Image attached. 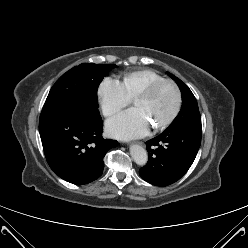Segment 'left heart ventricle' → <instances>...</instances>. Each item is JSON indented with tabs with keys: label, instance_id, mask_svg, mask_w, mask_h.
I'll use <instances>...</instances> for the list:
<instances>
[{
	"label": "left heart ventricle",
	"instance_id": "left-heart-ventricle-1",
	"mask_svg": "<svg viewBox=\"0 0 248 248\" xmlns=\"http://www.w3.org/2000/svg\"><path fill=\"white\" fill-rule=\"evenodd\" d=\"M176 104L177 95L174 87L171 84H161L149 98L137 102L136 106L140 107L154 124H159L171 116Z\"/></svg>",
	"mask_w": 248,
	"mask_h": 248
}]
</instances>
